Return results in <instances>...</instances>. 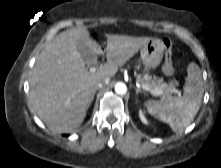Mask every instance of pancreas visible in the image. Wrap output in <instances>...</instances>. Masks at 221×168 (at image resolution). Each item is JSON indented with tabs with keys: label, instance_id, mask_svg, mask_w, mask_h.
<instances>
[{
	"label": "pancreas",
	"instance_id": "obj_1",
	"mask_svg": "<svg viewBox=\"0 0 221 168\" xmlns=\"http://www.w3.org/2000/svg\"><path fill=\"white\" fill-rule=\"evenodd\" d=\"M137 82L148 85L151 90H156L157 93L151 94L154 96H160L162 98L169 96L174 89V85H168L163 81L162 78L153 80L148 74L143 76L137 75Z\"/></svg>",
	"mask_w": 221,
	"mask_h": 168
}]
</instances>
